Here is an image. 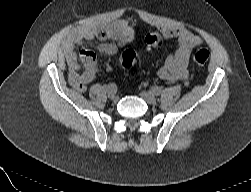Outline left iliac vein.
Returning <instances> with one entry per match:
<instances>
[{"label": "left iliac vein", "instance_id": "obj_1", "mask_svg": "<svg viewBox=\"0 0 251 192\" xmlns=\"http://www.w3.org/2000/svg\"><path fill=\"white\" fill-rule=\"evenodd\" d=\"M140 96L148 103V104H155L156 98L150 91H142L140 92Z\"/></svg>", "mask_w": 251, "mask_h": 192}]
</instances>
